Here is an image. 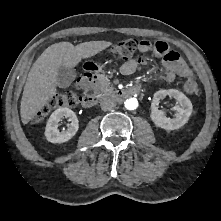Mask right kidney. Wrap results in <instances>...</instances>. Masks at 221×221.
<instances>
[{"instance_id":"right-kidney-1","label":"right kidney","mask_w":221,"mask_h":221,"mask_svg":"<svg viewBox=\"0 0 221 221\" xmlns=\"http://www.w3.org/2000/svg\"><path fill=\"white\" fill-rule=\"evenodd\" d=\"M68 118L71 123L67 130L59 131V122L63 118ZM79 124L76 114L69 108H58L47 121L45 137L51 143H63L70 140L78 131Z\"/></svg>"}]
</instances>
